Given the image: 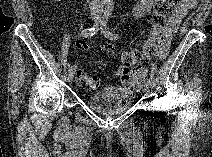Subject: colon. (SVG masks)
<instances>
[{
  "mask_svg": "<svg viewBox=\"0 0 212 157\" xmlns=\"http://www.w3.org/2000/svg\"><path fill=\"white\" fill-rule=\"evenodd\" d=\"M175 5L176 0H159L155 3L153 11L148 16L152 28L149 40L143 48L126 49L121 54V69L117 72V75L121 77L122 82H128L143 76L146 70L142 63L151 56L159 55L158 44L166 36L164 27ZM103 51L108 57H113L115 54L114 48L110 45L104 46ZM131 68L132 70H130ZM76 86L81 92L92 91L98 86V78L88 72L79 71Z\"/></svg>",
  "mask_w": 212,
  "mask_h": 157,
  "instance_id": "colon-1",
  "label": "colon"
}]
</instances>
